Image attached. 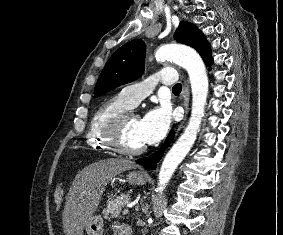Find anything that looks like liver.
<instances>
[{
	"mask_svg": "<svg viewBox=\"0 0 283 235\" xmlns=\"http://www.w3.org/2000/svg\"><path fill=\"white\" fill-rule=\"evenodd\" d=\"M137 164L122 158L95 162L81 170L74 178L62 215L65 235H82L97 210L107 184L118 174L136 168Z\"/></svg>",
	"mask_w": 283,
	"mask_h": 235,
	"instance_id": "liver-1",
	"label": "liver"
}]
</instances>
